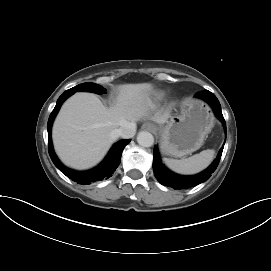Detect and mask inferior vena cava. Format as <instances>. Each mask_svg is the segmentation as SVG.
I'll return each mask as SVG.
<instances>
[{"label": "inferior vena cava", "instance_id": "602c4592", "mask_svg": "<svg viewBox=\"0 0 271 271\" xmlns=\"http://www.w3.org/2000/svg\"><path fill=\"white\" fill-rule=\"evenodd\" d=\"M118 137L124 139H130L134 137L136 133V123L134 122H126L123 126L115 131Z\"/></svg>", "mask_w": 271, "mask_h": 271}]
</instances>
